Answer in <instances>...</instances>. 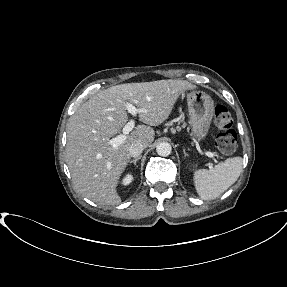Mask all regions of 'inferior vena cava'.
I'll list each match as a JSON object with an SVG mask.
<instances>
[{
	"instance_id": "inferior-vena-cava-1",
	"label": "inferior vena cava",
	"mask_w": 287,
	"mask_h": 287,
	"mask_svg": "<svg viewBox=\"0 0 287 287\" xmlns=\"http://www.w3.org/2000/svg\"><path fill=\"white\" fill-rule=\"evenodd\" d=\"M144 148L145 146L140 142L132 143L129 147V155L131 157H139Z\"/></svg>"
}]
</instances>
